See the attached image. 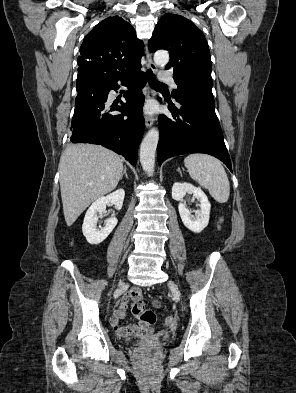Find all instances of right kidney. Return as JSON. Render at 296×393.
<instances>
[{
	"label": "right kidney",
	"mask_w": 296,
	"mask_h": 393,
	"mask_svg": "<svg viewBox=\"0 0 296 393\" xmlns=\"http://www.w3.org/2000/svg\"><path fill=\"white\" fill-rule=\"evenodd\" d=\"M125 191L118 189L106 197L98 198L87 210L82 225L83 235L88 243L98 245L103 242L117 225V218L111 217L105 221V227L101 230L97 229L98 214H102L108 203L114 204L117 210L123 205Z\"/></svg>",
	"instance_id": "ca27d5eb"
}]
</instances>
